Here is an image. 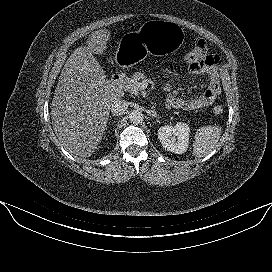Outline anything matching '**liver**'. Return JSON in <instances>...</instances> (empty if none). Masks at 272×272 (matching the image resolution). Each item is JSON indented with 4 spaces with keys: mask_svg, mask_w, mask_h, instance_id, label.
<instances>
[{
    "mask_svg": "<svg viewBox=\"0 0 272 272\" xmlns=\"http://www.w3.org/2000/svg\"><path fill=\"white\" fill-rule=\"evenodd\" d=\"M110 31H94L87 47L75 49L60 74L52 100V124L59 143L71 154L90 157L102 140L112 103L124 95L105 76L94 53L107 48Z\"/></svg>",
    "mask_w": 272,
    "mask_h": 272,
    "instance_id": "obj_1",
    "label": "liver"
}]
</instances>
